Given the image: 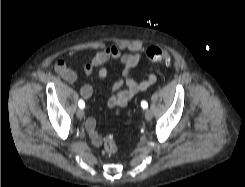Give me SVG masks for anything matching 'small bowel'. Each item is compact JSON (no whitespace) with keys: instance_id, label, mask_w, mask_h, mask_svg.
<instances>
[{"instance_id":"small-bowel-1","label":"small bowel","mask_w":245,"mask_h":187,"mask_svg":"<svg viewBox=\"0 0 245 187\" xmlns=\"http://www.w3.org/2000/svg\"><path fill=\"white\" fill-rule=\"evenodd\" d=\"M143 58L142 53H125L117 46L111 45L99 50L90 60L81 64L80 68L84 75L89 76L95 69L100 79L108 78V71L103 67L110 60H118L122 65L121 78L115 81L110 89V96L106 102L107 107L113 114H119L121 109L126 107L130 101L139 93L146 91L157 82V76L148 75L144 80L138 82L130 77V70L134 68ZM57 73L69 83L76 82L78 75L75 69L70 67L66 61L58 60L55 65ZM79 94L84 99L92 95L90 85H83ZM91 141L95 146L103 143V138L96 129V121L88 118L85 123Z\"/></svg>"}]
</instances>
